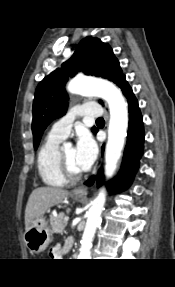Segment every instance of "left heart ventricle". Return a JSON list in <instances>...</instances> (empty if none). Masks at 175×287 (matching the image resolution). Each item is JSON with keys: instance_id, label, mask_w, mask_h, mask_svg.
<instances>
[{"instance_id": "1", "label": "left heart ventricle", "mask_w": 175, "mask_h": 287, "mask_svg": "<svg viewBox=\"0 0 175 287\" xmlns=\"http://www.w3.org/2000/svg\"><path fill=\"white\" fill-rule=\"evenodd\" d=\"M63 152H64V155L66 157V160L69 166L75 171H82L76 160L75 148L71 146L65 147L63 148Z\"/></svg>"}]
</instances>
